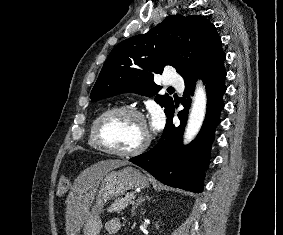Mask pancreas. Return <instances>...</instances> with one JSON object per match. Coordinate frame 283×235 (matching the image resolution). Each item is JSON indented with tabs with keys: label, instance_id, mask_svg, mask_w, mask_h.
Instances as JSON below:
<instances>
[{
	"label": "pancreas",
	"instance_id": "1",
	"mask_svg": "<svg viewBox=\"0 0 283 235\" xmlns=\"http://www.w3.org/2000/svg\"><path fill=\"white\" fill-rule=\"evenodd\" d=\"M134 199V195L132 193H127L124 197H121L115 200L111 206L109 207V212H121L125 210L127 206L132 202Z\"/></svg>",
	"mask_w": 283,
	"mask_h": 235
}]
</instances>
